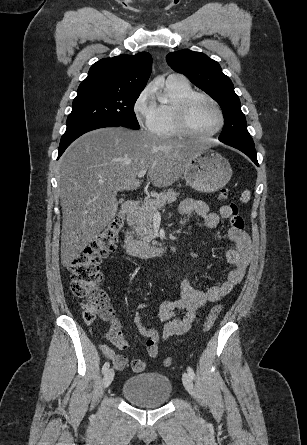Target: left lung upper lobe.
Returning <instances> with one entry per match:
<instances>
[{"mask_svg": "<svg viewBox=\"0 0 307 445\" xmlns=\"http://www.w3.org/2000/svg\"><path fill=\"white\" fill-rule=\"evenodd\" d=\"M166 61L173 70L183 73L220 105L225 120L220 141L254 143L247 130L239 97L218 62L203 53L187 49L169 53Z\"/></svg>", "mask_w": 307, "mask_h": 445, "instance_id": "obj_1", "label": "left lung upper lobe"}]
</instances>
